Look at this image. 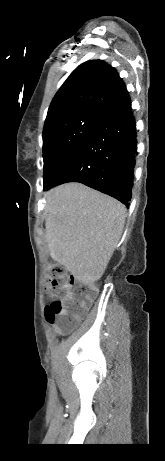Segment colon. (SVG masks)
I'll return each instance as SVG.
<instances>
[{
  "label": "colon",
  "instance_id": "obj_1",
  "mask_svg": "<svg viewBox=\"0 0 165 461\" xmlns=\"http://www.w3.org/2000/svg\"><path fill=\"white\" fill-rule=\"evenodd\" d=\"M46 288L52 296L45 310L46 318L59 334H67L79 324L97 293L96 286L78 282L56 263L47 268Z\"/></svg>",
  "mask_w": 165,
  "mask_h": 461
}]
</instances>
